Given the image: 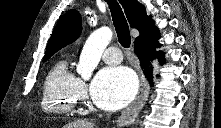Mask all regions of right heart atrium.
Wrapping results in <instances>:
<instances>
[{
    "mask_svg": "<svg viewBox=\"0 0 221 128\" xmlns=\"http://www.w3.org/2000/svg\"><path fill=\"white\" fill-rule=\"evenodd\" d=\"M76 92L79 98L83 99L86 96V84L85 82L78 78L77 84H76Z\"/></svg>",
    "mask_w": 221,
    "mask_h": 128,
    "instance_id": "obj_1",
    "label": "right heart atrium"
}]
</instances>
